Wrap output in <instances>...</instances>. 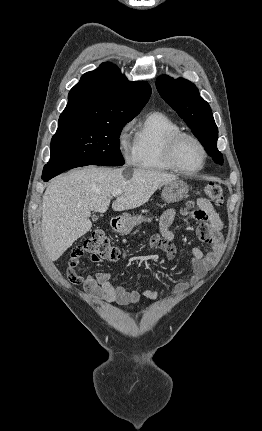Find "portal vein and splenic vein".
Returning a JSON list of instances; mask_svg holds the SVG:
<instances>
[{"mask_svg":"<svg viewBox=\"0 0 262 431\" xmlns=\"http://www.w3.org/2000/svg\"><path fill=\"white\" fill-rule=\"evenodd\" d=\"M122 194L121 190H115L112 192V196L116 197V196H120Z\"/></svg>","mask_w":262,"mask_h":431,"instance_id":"18ae733b","label":"portal vein and splenic vein"}]
</instances>
